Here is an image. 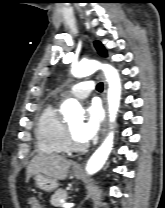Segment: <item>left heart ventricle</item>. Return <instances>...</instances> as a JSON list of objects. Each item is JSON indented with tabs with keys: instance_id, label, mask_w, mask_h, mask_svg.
Instances as JSON below:
<instances>
[{
	"instance_id": "b2bd125f",
	"label": "left heart ventricle",
	"mask_w": 165,
	"mask_h": 208,
	"mask_svg": "<svg viewBox=\"0 0 165 208\" xmlns=\"http://www.w3.org/2000/svg\"><path fill=\"white\" fill-rule=\"evenodd\" d=\"M80 123H81V120L76 118V119L70 120L67 125L69 126V128H70V130L73 134L74 139L76 141L82 143V141L77 136V130L79 128Z\"/></svg>"
}]
</instances>
